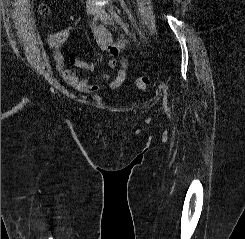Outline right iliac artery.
I'll list each match as a JSON object with an SVG mask.
<instances>
[{
  "label": "right iliac artery",
  "instance_id": "82829eb1",
  "mask_svg": "<svg viewBox=\"0 0 245 239\" xmlns=\"http://www.w3.org/2000/svg\"><path fill=\"white\" fill-rule=\"evenodd\" d=\"M97 20H98V17L97 16H94V18L92 20V24H94Z\"/></svg>",
  "mask_w": 245,
  "mask_h": 239
}]
</instances>
